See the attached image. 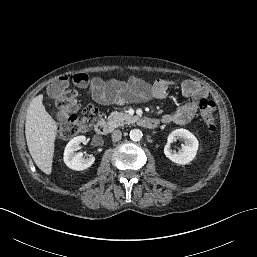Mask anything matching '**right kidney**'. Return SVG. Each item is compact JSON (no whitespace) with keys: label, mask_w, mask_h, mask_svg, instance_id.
<instances>
[{"label":"right kidney","mask_w":257,"mask_h":257,"mask_svg":"<svg viewBox=\"0 0 257 257\" xmlns=\"http://www.w3.org/2000/svg\"><path fill=\"white\" fill-rule=\"evenodd\" d=\"M85 136H77L70 140L65 147L64 150V163L67 167L72 170H85L89 168L95 161L94 157L83 158V153H76V151L80 148V144L85 142Z\"/></svg>","instance_id":"obj_1"}]
</instances>
